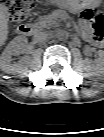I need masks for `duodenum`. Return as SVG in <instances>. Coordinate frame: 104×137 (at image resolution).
<instances>
[{
  "mask_svg": "<svg viewBox=\"0 0 104 137\" xmlns=\"http://www.w3.org/2000/svg\"><path fill=\"white\" fill-rule=\"evenodd\" d=\"M34 30V25L29 23H22L18 27V32L23 36H31L34 33Z\"/></svg>",
  "mask_w": 104,
  "mask_h": 137,
  "instance_id": "obj_1",
  "label": "duodenum"
}]
</instances>
